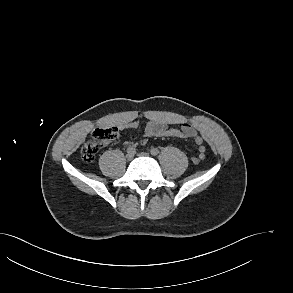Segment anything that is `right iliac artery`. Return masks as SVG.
Segmentation results:
<instances>
[{
    "mask_svg": "<svg viewBox=\"0 0 293 293\" xmlns=\"http://www.w3.org/2000/svg\"><path fill=\"white\" fill-rule=\"evenodd\" d=\"M127 153H135V149L133 147H128Z\"/></svg>",
    "mask_w": 293,
    "mask_h": 293,
    "instance_id": "obj_1",
    "label": "right iliac artery"
}]
</instances>
